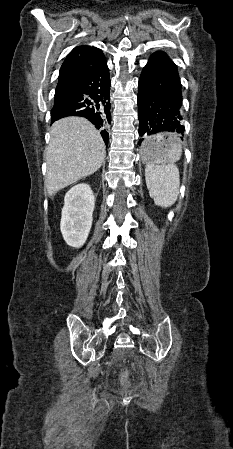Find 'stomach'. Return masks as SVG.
<instances>
[{
  "label": "stomach",
  "instance_id": "0dacf381",
  "mask_svg": "<svg viewBox=\"0 0 233 449\" xmlns=\"http://www.w3.org/2000/svg\"><path fill=\"white\" fill-rule=\"evenodd\" d=\"M176 140V138H175ZM171 133H151L141 148L143 161L149 163L171 162L177 157Z\"/></svg>",
  "mask_w": 233,
  "mask_h": 449
}]
</instances>
